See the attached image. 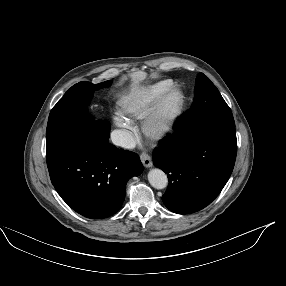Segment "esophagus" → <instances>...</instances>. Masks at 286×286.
<instances>
[{
    "label": "esophagus",
    "instance_id": "esophagus-1",
    "mask_svg": "<svg viewBox=\"0 0 286 286\" xmlns=\"http://www.w3.org/2000/svg\"><path fill=\"white\" fill-rule=\"evenodd\" d=\"M140 160L146 168H150L153 166L152 159L147 153H142L140 155Z\"/></svg>",
    "mask_w": 286,
    "mask_h": 286
}]
</instances>
